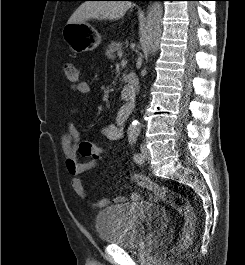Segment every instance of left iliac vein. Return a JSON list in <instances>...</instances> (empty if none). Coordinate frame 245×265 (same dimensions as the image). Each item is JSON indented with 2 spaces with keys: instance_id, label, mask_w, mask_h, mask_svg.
<instances>
[{
  "instance_id": "1",
  "label": "left iliac vein",
  "mask_w": 245,
  "mask_h": 265,
  "mask_svg": "<svg viewBox=\"0 0 245 265\" xmlns=\"http://www.w3.org/2000/svg\"><path fill=\"white\" fill-rule=\"evenodd\" d=\"M141 156H142V161L149 159L150 156L149 150L144 144L141 145Z\"/></svg>"
}]
</instances>
